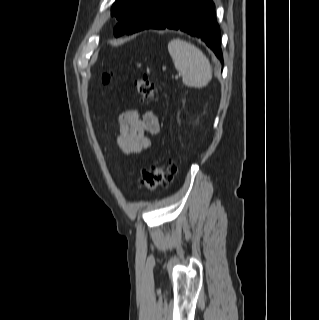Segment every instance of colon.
Masks as SVG:
<instances>
[{"mask_svg":"<svg viewBox=\"0 0 319 320\" xmlns=\"http://www.w3.org/2000/svg\"><path fill=\"white\" fill-rule=\"evenodd\" d=\"M111 75L105 73L102 77L103 82H109ZM137 92L142 99H151L155 89L149 78L143 77L136 81ZM176 172V165L172 161L153 164L150 168L143 171L139 180V187L144 190H155L159 187L168 185Z\"/></svg>","mask_w":319,"mask_h":320,"instance_id":"5ec220e1","label":"colon"}]
</instances>
